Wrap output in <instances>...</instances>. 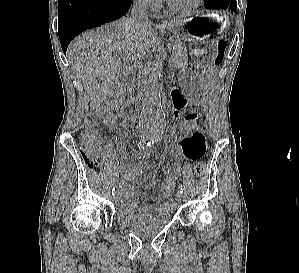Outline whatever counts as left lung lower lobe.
Masks as SVG:
<instances>
[{"instance_id": "1", "label": "left lung lower lobe", "mask_w": 299, "mask_h": 273, "mask_svg": "<svg viewBox=\"0 0 299 273\" xmlns=\"http://www.w3.org/2000/svg\"><path fill=\"white\" fill-rule=\"evenodd\" d=\"M207 9L230 8L232 12L237 13L236 0H205Z\"/></svg>"}]
</instances>
